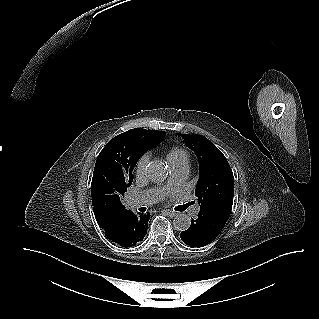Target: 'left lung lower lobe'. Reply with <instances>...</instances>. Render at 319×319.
<instances>
[{
  "label": "left lung lower lobe",
  "instance_id": "0a47b994",
  "mask_svg": "<svg viewBox=\"0 0 319 319\" xmlns=\"http://www.w3.org/2000/svg\"><path fill=\"white\" fill-rule=\"evenodd\" d=\"M231 209L229 206L200 208L198 218L192 219L191 227L181 233L182 241L191 247L206 246L219 235Z\"/></svg>",
  "mask_w": 319,
  "mask_h": 319
}]
</instances>
